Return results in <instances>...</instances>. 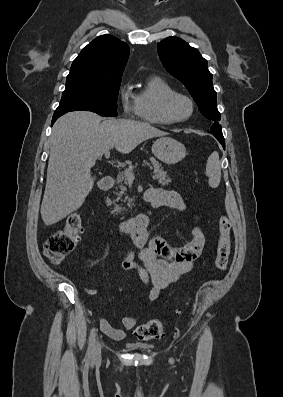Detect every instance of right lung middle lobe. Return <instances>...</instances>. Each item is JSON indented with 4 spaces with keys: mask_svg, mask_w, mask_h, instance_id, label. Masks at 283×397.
<instances>
[{
    "mask_svg": "<svg viewBox=\"0 0 283 397\" xmlns=\"http://www.w3.org/2000/svg\"><path fill=\"white\" fill-rule=\"evenodd\" d=\"M120 83L121 79L108 80L69 74L55 113L85 110L104 117H116Z\"/></svg>",
    "mask_w": 283,
    "mask_h": 397,
    "instance_id": "dd1d6c3e",
    "label": "right lung middle lobe"
}]
</instances>
